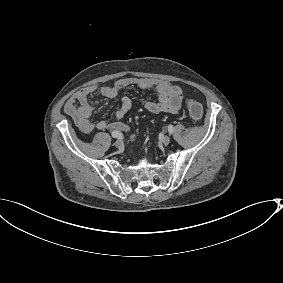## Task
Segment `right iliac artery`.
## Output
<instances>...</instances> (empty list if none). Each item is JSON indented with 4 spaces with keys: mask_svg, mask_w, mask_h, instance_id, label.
Instances as JSON below:
<instances>
[{
    "mask_svg": "<svg viewBox=\"0 0 283 283\" xmlns=\"http://www.w3.org/2000/svg\"><path fill=\"white\" fill-rule=\"evenodd\" d=\"M112 137H113V138H120V137H121V132H119V131H113V132H112Z\"/></svg>",
    "mask_w": 283,
    "mask_h": 283,
    "instance_id": "82829eb1",
    "label": "right iliac artery"
}]
</instances>
